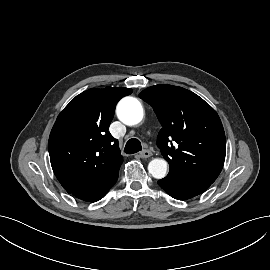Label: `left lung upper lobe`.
I'll return each instance as SVG.
<instances>
[{
  "label": "left lung upper lobe",
  "mask_w": 270,
  "mask_h": 270,
  "mask_svg": "<svg viewBox=\"0 0 270 270\" xmlns=\"http://www.w3.org/2000/svg\"><path fill=\"white\" fill-rule=\"evenodd\" d=\"M139 97L150 104L161 125L157 145L170 165L167 176H200L214 182L226 155V139L216 111L182 87L156 85ZM170 140L174 144L168 145Z\"/></svg>",
  "instance_id": "5c2ea615"
}]
</instances>
